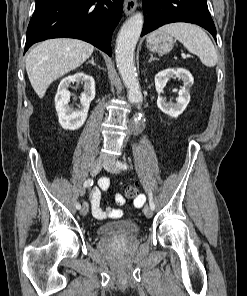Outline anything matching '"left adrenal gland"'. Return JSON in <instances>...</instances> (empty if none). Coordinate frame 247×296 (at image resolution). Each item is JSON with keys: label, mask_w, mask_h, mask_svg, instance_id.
Wrapping results in <instances>:
<instances>
[{"label": "left adrenal gland", "mask_w": 247, "mask_h": 296, "mask_svg": "<svg viewBox=\"0 0 247 296\" xmlns=\"http://www.w3.org/2000/svg\"><path fill=\"white\" fill-rule=\"evenodd\" d=\"M155 60H158V59L155 58V57H153V55L151 54V55H150V59H149L148 62L150 63V62L155 61Z\"/></svg>", "instance_id": "a2214340"}]
</instances>
